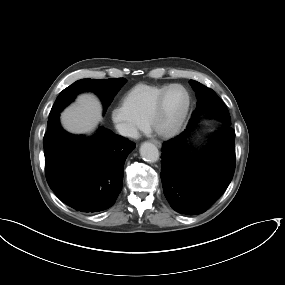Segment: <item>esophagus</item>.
I'll return each instance as SVG.
<instances>
[{"mask_svg": "<svg viewBox=\"0 0 285 285\" xmlns=\"http://www.w3.org/2000/svg\"><path fill=\"white\" fill-rule=\"evenodd\" d=\"M152 142L159 148L162 146L161 142L158 140H152Z\"/></svg>", "mask_w": 285, "mask_h": 285, "instance_id": "1", "label": "esophagus"}]
</instances>
